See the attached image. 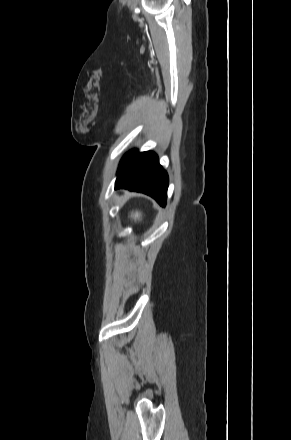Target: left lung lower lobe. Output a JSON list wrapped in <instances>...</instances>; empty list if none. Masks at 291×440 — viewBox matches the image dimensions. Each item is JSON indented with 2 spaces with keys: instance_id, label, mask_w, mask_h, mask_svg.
Listing matches in <instances>:
<instances>
[{
  "instance_id": "left-lung-lower-lobe-1",
  "label": "left lung lower lobe",
  "mask_w": 291,
  "mask_h": 440,
  "mask_svg": "<svg viewBox=\"0 0 291 440\" xmlns=\"http://www.w3.org/2000/svg\"><path fill=\"white\" fill-rule=\"evenodd\" d=\"M118 188L143 192L165 206L168 176L155 153L133 150L120 162L115 183V189Z\"/></svg>"
}]
</instances>
